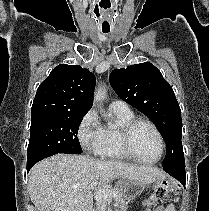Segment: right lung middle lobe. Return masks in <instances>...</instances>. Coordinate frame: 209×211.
Wrapping results in <instances>:
<instances>
[{"label": "right lung middle lobe", "instance_id": "right-lung-middle-lobe-1", "mask_svg": "<svg viewBox=\"0 0 209 211\" xmlns=\"http://www.w3.org/2000/svg\"><path fill=\"white\" fill-rule=\"evenodd\" d=\"M85 114L31 116L27 165L58 153L80 154L77 133Z\"/></svg>", "mask_w": 209, "mask_h": 211}]
</instances>
